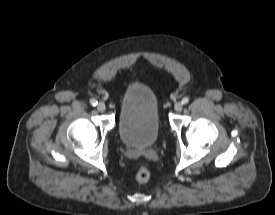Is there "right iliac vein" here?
I'll use <instances>...</instances> for the list:
<instances>
[{"label":"right iliac vein","instance_id":"right-iliac-vein-1","mask_svg":"<svg viewBox=\"0 0 275 215\" xmlns=\"http://www.w3.org/2000/svg\"><path fill=\"white\" fill-rule=\"evenodd\" d=\"M97 109L100 111V112H104L106 110V106L103 102H99L98 105H97Z\"/></svg>","mask_w":275,"mask_h":215}]
</instances>
